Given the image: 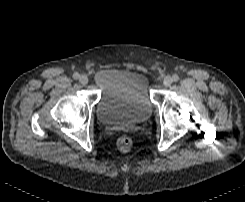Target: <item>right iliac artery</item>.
<instances>
[{
  "label": "right iliac artery",
  "instance_id": "1",
  "mask_svg": "<svg viewBox=\"0 0 245 202\" xmlns=\"http://www.w3.org/2000/svg\"><path fill=\"white\" fill-rule=\"evenodd\" d=\"M79 77H80L79 73L76 72V73L73 74V78L74 79L77 80V79H79Z\"/></svg>",
  "mask_w": 245,
  "mask_h": 202
}]
</instances>
